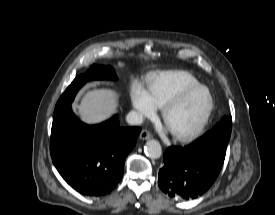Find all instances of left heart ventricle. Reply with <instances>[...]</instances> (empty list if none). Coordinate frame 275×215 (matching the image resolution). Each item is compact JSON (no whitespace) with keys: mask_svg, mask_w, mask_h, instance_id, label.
<instances>
[{"mask_svg":"<svg viewBox=\"0 0 275 215\" xmlns=\"http://www.w3.org/2000/svg\"><path fill=\"white\" fill-rule=\"evenodd\" d=\"M208 105L209 98L205 90H197L189 94L169 113L168 128L176 133L192 129L200 122Z\"/></svg>","mask_w":275,"mask_h":215,"instance_id":"left-heart-ventricle-1","label":"left heart ventricle"}]
</instances>
